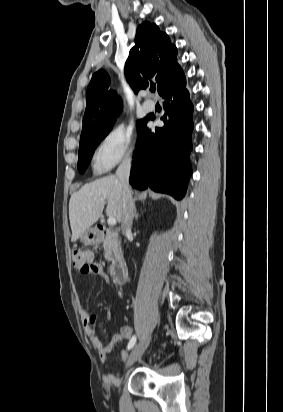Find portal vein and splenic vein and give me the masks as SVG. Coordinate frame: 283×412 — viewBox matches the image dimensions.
Returning <instances> with one entry per match:
<instances>
[{"label":"portal vein and splenic vein","mask_w":283,"mask_h":412,"mask_svg":"<svg viewBox=\"0 0 283 412\" xmlns=\"http://www.w3.org/2000/svg\"><path fill=\"white\" fill-rule=\"evenodd\" d=\"M107 223H108V225H110V226H114V225H116L117 221H116L115 218L109 217V218L107 219Z\"/></svg>","instance_id":"18ae733b"}]
</instances>
